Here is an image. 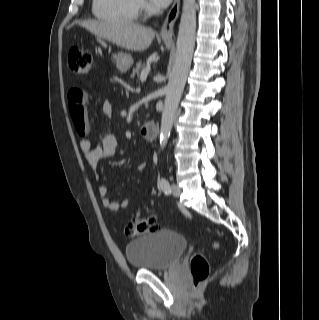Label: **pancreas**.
<instances>
[{"mask_svg": "<svg viewBox=\"0 0 319 320\" xmlns=\"http://www.w3.org/2000/svg\"><path fill=\"white\" fill-rule=\"evenodd\" d=\"M146 66L145 62H138L136 64V67L133 68L132 70V74H131V77L133 78L135 75H139V72L141 69H143L144 67Z\"/></svg>", "mask_w": 319, "mask_h": 320, "instance_id": "pancreas-1", "label": "pancreas"}]
</instances>
